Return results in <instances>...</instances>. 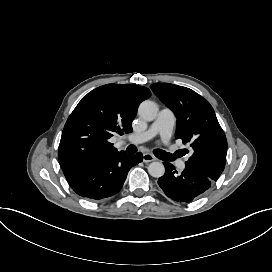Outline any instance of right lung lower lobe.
Segmentation results:
<instances>
[{"label": "right lung lower lobe", "mask_w": 272, "mask_h": 272, "mask_svg": "<svg viewBox=\"0 0 272 272\" xmlns=\"http://www.w3.org/2000/svg\"><path fill=\"white\" fill-rule=\"evenodd\" d=\"M142 161V154L118 152L112 157L88 160L63 170L71 188L89 200H104L117 194L134 165Z\"/></svg>", "instance_id": "right-lung-lower-lobe-1"}]
</instances>
